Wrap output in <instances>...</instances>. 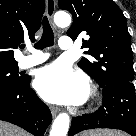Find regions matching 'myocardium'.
Instances as JSON below:
<instances>
[{
  "instance_id": "myocardium-1",
  "label": "myocardium",
  "mask_w": 136,
  "mask_h": 136,
  "mask_svg": "<svg viewBox=\"0 0 136 136\" xmlns=\"http://www.w3.org/2000/svg\"><path fill=\"white\" fill-rule=\"evenodd\" d=\"M90 93H91L92 96H95L96 95V89L92 88L91 91H90Z\"/></svg>"
}]
</instances>
